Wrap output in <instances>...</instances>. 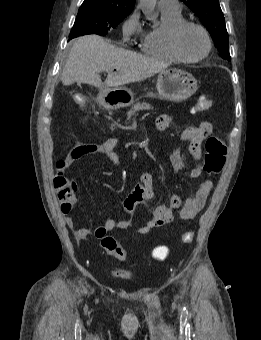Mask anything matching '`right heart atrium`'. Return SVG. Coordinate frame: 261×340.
I'll use <instances>...</instances> for the list:
<instances>
[{
	"label": "right heart atrium",
	"instance_id": "obj_1",
	"mask_svg": "<svg viewBox=\"0 0 261 340\" xmlns=\"http://www.w3.org/2000/svg\"><path fill=\"white\" fill-rule=\"evenodd\" d=\"M122 31L126 38L140 33V14L137 9L133 10L126 18L122 26Z\"/></svg>",
	"mask_w": 261,
	"mask_h": 340
}]
</instances>
